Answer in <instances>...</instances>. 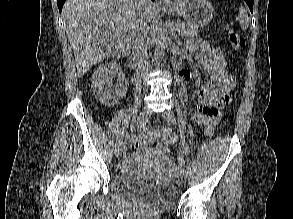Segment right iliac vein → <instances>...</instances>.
Instances as JSON below:
<instances>
[{"instance_id":"right-iliac-vein-1","label":"right iliac vein","mask_w":293,"mask_h":219,"mask_svg":"<svg viewBox=\"0 0 293 219\" xmlns=\"http://www.w3.org/2000/svg\"><path fill=\"white\" fill-rule=\"evenodd\" d=\"M150 116H151V109L148 107H145L141 111V113L138 117V126H141V125H143V123L147 122L149 120ZM123 150H124V145L119 144L115 149V155L119 156Z\"/></svg>"}]
</instances>
